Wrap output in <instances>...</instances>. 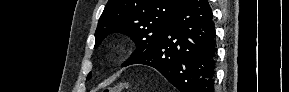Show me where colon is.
Instances as JSON below:
<instances>
[{
    "mask_svg": "<svg viewBox=\"0 0 289 92\" xmlns=\"http://www.w3.org/2000/svg\"><path fill=\"white\" fill-rule=\"evenodd\" d=\"M127 85L125 83L117 84L113 87L107 88L104 92H121L123 91Z\"/></svg>",
    "mask_w": 289,
    "mask_h": 92,
    "instance_id": "obj_1",
    "label": "colon"
}]
</instances>
